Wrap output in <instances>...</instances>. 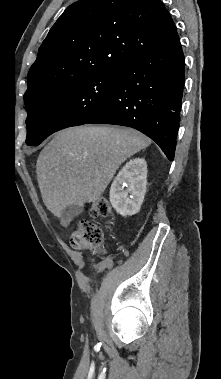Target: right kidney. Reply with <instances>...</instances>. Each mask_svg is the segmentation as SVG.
<instances>
[{
    "label": "right kidney",
    "mask_w": 221,
    "mask_h": 379,
    "mask_svg": "<svg viewBox=\"0 0 221 379\" xmlns=\"http://www.w3.org/2000/svg\"><path fill=\"white\" fill-rule=\"evenodd\" d=\"M147 184V164L135 158L125 164L110 188V202L124 217L136 214L143 203Z\"/></svg>",
    "instance_id": "1"
}]
</instances>
